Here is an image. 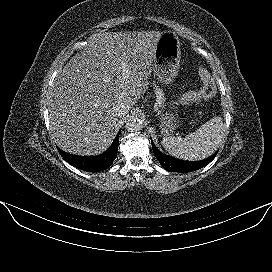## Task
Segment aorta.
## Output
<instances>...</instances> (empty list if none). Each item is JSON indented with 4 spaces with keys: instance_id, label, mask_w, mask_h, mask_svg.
<instances>
[{
    "instance_id": "aorta-1",
    "label": "aorta",
    "mask_w": 272,
    "mask_h": 272,
    "mask_svg": "<svg viewBox=\"0 0 272 272\" xmlns=\"http://www.w3.org/2000/svg\"><path fill=\"white\" fill-rule=\"evenodd\" d=\"M143 123L142 120L137 117H132L126 122V129L129 132H137L142 130Z\"/></svg>"
}]
</instances>
